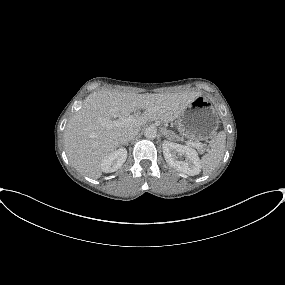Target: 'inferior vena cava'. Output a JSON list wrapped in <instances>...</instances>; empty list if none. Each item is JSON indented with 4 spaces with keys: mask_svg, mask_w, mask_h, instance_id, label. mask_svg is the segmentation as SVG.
<instances>
[{
    "mask_svg": "<svg viewBox=\"0 0 285 285\" xmlns=\"http://www.w3.org/2000/svg\"><path fill=\"white\" fill-rule=\"evenodd\" d=\"M138 132L135 130H123L120 134H119V142L122 144H126L128 143L130 140H132L135 135Z\"/></svg>",
    "mask_w": 285,
    "mask_h": 285,
    "instance_id": "inferior-vena-cava-1",
    "label": "inferior vena cava"
}]
</instances>
